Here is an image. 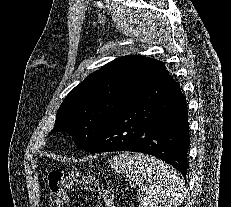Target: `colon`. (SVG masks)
<instances>
[{
  "mask_svg": "<svg viewBox=\"0 0 231 207\" xmlns=\"http://www.w3.org/2000/svg\"><path fill=\"white\" fill-rule=\"evenodd\" d=\"M48 186L51 205L60 207L66 202L67 191L71 188L83 187L88 192L103 199L102 207H113L109 191L100 185L98 180L89 175L75 171L53 169L48 173Z\"/></svg>",
  "mask_w": 231,
  "mask_h": 207,
  "instance_id": "colon-1",
  "label": "colon"
}]
</instances>
